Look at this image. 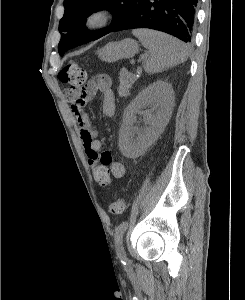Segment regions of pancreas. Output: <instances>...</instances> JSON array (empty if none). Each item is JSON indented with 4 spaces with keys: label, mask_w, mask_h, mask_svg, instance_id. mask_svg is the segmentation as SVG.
Returning <instances> with one entry per match:
<instances>
[{
    "label": "pancreas",
    "mask_w": 245,
    "mask_h": 300,
    "mask_svg": "<svg viewBox=\"0 0 245 300\" xmlns=\"http://www.w3.org/2000/svg\"><path fill=\"white\" fill-rule=\"evenodd\" d=\"M135 81V76L128 73L126 70H122L119 75V87L118 93L120 96L125 97L129 93V88Z\"/></svg>",
    "instance_id": "1"
}]
</instances>
